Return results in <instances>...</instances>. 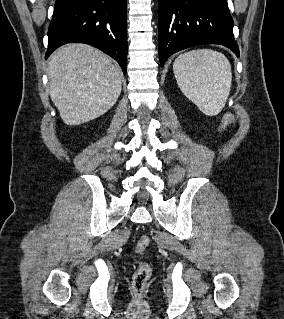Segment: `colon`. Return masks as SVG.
Instances as JSON below:
<instances>
[{
    "label": "colon",
    "mask_w": 284,
    "mask_h": 319,
    "mask_svg": "<svg viewBox=\"0 0 284 319\" xmlns=\"http://www.w3.org/2000/svg\"><path fill=\"white\" fill-rule=\"evenodd\" d=\"M233 121H234V114L226 113L223 116V119L221 121L220 131L221 132L225 131L233 123ZM149 243H150V239L148 236L146 235L141 236L137 241L135 252L137 254L142 253L149 246ZM150 275H151V268L149 264L145 262H139L132 278V286L134 291L137 294H140L143 292L150 278Z\"/></svg>",
    "instance_id": "obj_1"
}]
</instances>
